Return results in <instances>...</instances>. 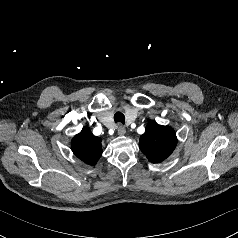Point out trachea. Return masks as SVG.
<instances>
[{
	"label": "trachea",
	"instance_id": "3493384b",
	"mask_svg": "<svg viewBox=\"0 0 238 238\" xmlns=\"http://www.w3.org/2000/svg\"><path fill=\"white\" fill-rule=\"evenodd\" d=\"M114 121L117 123V122H120L122 124L125 123V116L123 113L121 112H116L115 115H114Z\"/></svg>",
	"mask_w": 238,
	"mask_h": 238
}]
</instances>
